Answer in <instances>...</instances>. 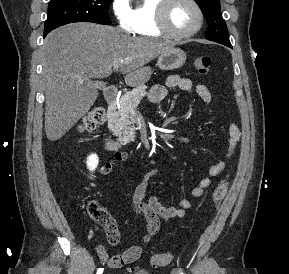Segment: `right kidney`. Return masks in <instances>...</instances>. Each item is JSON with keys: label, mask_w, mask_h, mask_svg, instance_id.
<instances>
[{"label": "right kidney", "mask_w": 289, "mask_h": 274, "mask_svg": "<svg viewBox=\"0 0 289 274\" xmlns=\"http://www.w3.org/2000/svg\"><path fill=\"white\" fill-rule=\"evenodd\" d=\"M98 166V157L96 154H91L87 158V167L90 171H94Z\"/></svg>", "instance_id": "right-kidney-1"}]
</instances>
